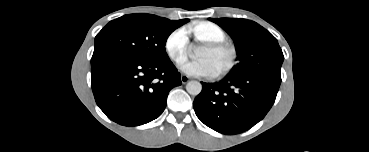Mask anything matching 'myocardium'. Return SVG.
Wrapping results in <instances>:
<instances>
[{"label": "myocardium", "mask_w": 369, "mask_h": 152, "mask_svg": "<svg viewBox=\"0 0 369 152\" xmlns=\"http://www.w3.org/2000/svg\"><path fill=\"white\" fill-rule=\"evenodd\" d=\"M207 46L213 51L224 52L228 55V60L226 64L220 70H218L215 75L223 76L229 73L236 64L237 54L235 48L224 41L208 42Z\"/></svg>", "instance_id": "1"}]
</instances>
